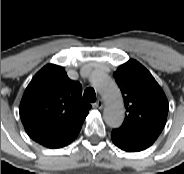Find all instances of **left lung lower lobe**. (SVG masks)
Returning a JSON list of instances; mask_svg holds the SVG:
<instances>
[{"label":"left lung lower lobe","instance_id":"obj_1","mask_svg":"<svg viewBox=\"0 0 184 174\" xmlns=\"http://www.w3.org/2000/svg\"><path fill=\"white\" fill-rule=\"evenodd\" d=\"M113 143L127 152L142 151L151 146L157 138L120 127L111 132Z\"/></svg>","mask_w":184,"mask_h":174}]
</instances>
